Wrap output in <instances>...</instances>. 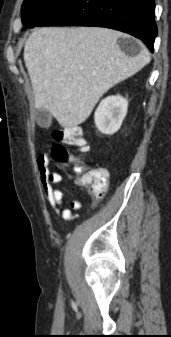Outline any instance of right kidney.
Masks as SVG:
<instances>
[{"instance_id":"1","label":"right kidney","mask_w":171,"mask_h":337,"mask_svg":"<svg viewBox=\"0 0 171 337\" xmlns=\"http://www.w3.org/2000/svg\"><path fill=\"white\" fill-rule=\"evenodd\" d=\"M128 100L120 95L103 99L95 111L96 127L104 134L117 132L127 114Z\"/></svg>"}]
</instances>
